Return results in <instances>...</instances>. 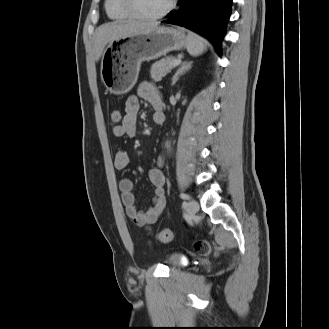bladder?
Masks as SVG:
<instances>
[{"label": "bladder", "instance_id": "1", "mask_svg": "<svg viewBox=\"0 0 329 329\" xmlns=\"http://www.w3.org/2000/svg\"><path fill=\"white\" fill-rule=\"evenodd\" d=\"M184 263L183 256L179 253H171L166 258V264L170 268H178Z\"/></svg>", "mask_w": 329, "mask_h": 329}]
</instances>
